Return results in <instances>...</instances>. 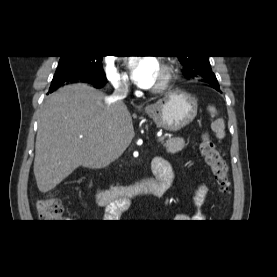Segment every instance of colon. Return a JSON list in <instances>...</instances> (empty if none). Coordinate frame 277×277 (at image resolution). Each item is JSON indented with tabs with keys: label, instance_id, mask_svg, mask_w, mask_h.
<instances>
[{
	"label": "colon",
	"instance_id": "colon-1",
	"mask_svg": "<svg viewBox=\"0 0 277 277\" xmlns=\"http://www.w3.org/2000/svg\"><path fill=\"white\" fill-rule=\"evenodd\" d=\"M199 149L221 193L228 194L230 191L228 166L215 142L208 135H203ZM37 210L39 217L45 222H56L63 213V206L57 197L47 196L37 202Z\"/></svg>",
	"mask_w": 277,
	"mask_h": 277
}]
</instances>
